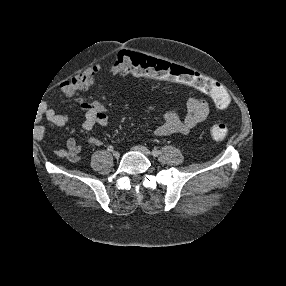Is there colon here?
Here are the masks:
<instances>
[{"label":"colon","mask_w":286,"mask_h":286,"mask_svg":"<svg viewBox=\"0 0 286 286\" xmlns=\"http://www.w3.org/2000/svg\"><path fill=\"white\" fill-rule=\"evenodd\" d=\"M114 75L135 74L144 75L156 79H176L192 84L199 90L208 94L216 108L225 110L230 105V97L226 89L215 80H212L198 72L170 65L164 61L148 57L143 54L121 51L110 68ZM98 74V68H90L78 74L60 87V94L70 97L78 91L88 88ZM229 134V128L224 123H214L209 128V135L217 141L224 140Z\"/></svg>","instance_id":"obj_1"}]
</instances>
